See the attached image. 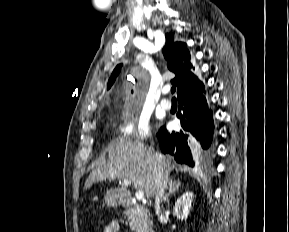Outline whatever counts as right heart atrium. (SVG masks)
<instances>
[{
	"mask_svg": "<svg viewBox=\"0 0 289 232\" xmlns=\"http://www.w3.org/2000/svg\"><path fill=\"white\" fill-rule=\"evenodd\" d=\"M117 134L124 140L144 141L151 135V126L148 117L125 115L118 128Z\"/></svg>",
	"mask_w": 289,
	"mask_h": 232,
	"instance_id": "1",
	"label": "right heart atrium"
}]
</instances>
